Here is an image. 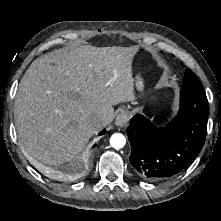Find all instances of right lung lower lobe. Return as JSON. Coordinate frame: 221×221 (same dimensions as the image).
Returning <instances> with one entry per match:
<instances>
[{"label":"right lung lower lobe","mask_w":221,"mask_h":221,"mask_svg":"<svg viewBox=\"0 0 221 221\" xmlns=\"http://www.w3.org/2000/svg\"><path fill=\"white\" fill-rule=\"evenodd\" d=\"M106 133V130H103L99 133V135H103ZM95 146V145H94ZM54 175H56V177H58L59 179H62V180H69L73 177H75V173H73L72 170H66V171H63V172H53Z\"/></svg>","instance_id":"98d812e1"}]
</instances>
